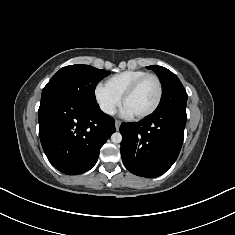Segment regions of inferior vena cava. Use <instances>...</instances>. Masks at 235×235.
Returning a JSON list of instances; mask_svg holds the SVG:
<instances>
[{"mask_svg": "<svg viewBox=\"0 0 235 235\" xmlns=\"http://www.w3.org/2000/svg\"><path fill=\"white\" fill-rule=\"evenodd\" d=\"M102 110L109 115H114L116 112V108L112 105H104L102 106Z\"/></svg>", "mask_w": 235, "mask_h": 235, "instance_id": "602c4592", "label": "inferior vena cava"}]
</instances>
